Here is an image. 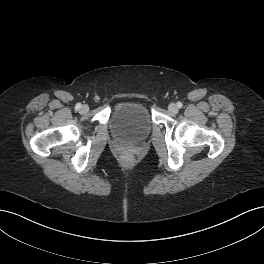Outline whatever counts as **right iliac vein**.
I'll return each instance as SVG.
<instances>
[{"mask_svg": "<svg viewBox=\"0 0 264 264\" xmlns=\"http://www.w3.org/2000/svg\"><path fill=\"white\" fill-rule=\"evenodd\" d=\"M88 110H89V107L87 105H83L81 108L82 113H86V112H88Z\"/></svg>", "mask_w": 264, "mask_h": 264, "instance_id": "1", "label": "right iliac vein"}]
</instances>
